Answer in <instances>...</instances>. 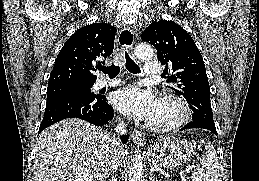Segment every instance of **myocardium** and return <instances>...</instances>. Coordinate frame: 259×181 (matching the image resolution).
I'll return each instance as SVG.
<instances>
[{
  "label": "myocardium",
  "mask_w": 259,
  "mask_h": 181,
  "mask_svg": "<svg viewBox=\"0 0 259 181\" xmlns=\"http://www.w3.org/2000/svg\"><path fill=\"white\" fill-rule=\"evenodd\" d=\"M160 103L171 105L176 110L173 120L166 123L149 122L148 127L155 132H169L184 126L190 118V110L187 103L172 91H166L159 97Z\"/></svg>",
  "instance_id": "myocardium-1"
}]
</instances>
